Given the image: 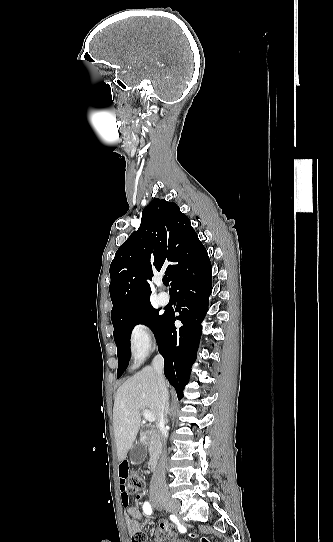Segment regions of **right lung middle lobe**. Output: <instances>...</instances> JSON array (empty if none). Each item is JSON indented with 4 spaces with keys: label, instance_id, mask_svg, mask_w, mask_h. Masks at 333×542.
<instances>
[{
    "label": "right lung middle lobe",
    "instance_id": "right-lung-middle-lobe-1",
    "mask_svg": "<svg viewBox=\"0 0 333 542\" xmlns=\"http://www.w3.org/2000/svg\"><path fill=\"white\" fill-rule=\"evenodd\" d=\"M164 317L165 313L159 315V310L148 304L112 320L118 356L117 378H120L126 370L131 357L130 337L133 328L137 324H145L156 335Z\"/></svg>",
    "mask_w": 333,
    "mask_h": 542
}]
</instances>
